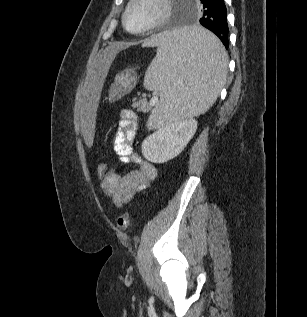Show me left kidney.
I'll return each mask as SVG.
<instances>
[{
    "label": "left kidney",
    "instance_id": "obj_1",
    "mask_svg": "<svg viewBox=\"0 0 307 317\" xmlns=\"http://www.w3.org/2000/svg\"><path fill=\"white\" fill-rule=\"evenodd\" d=\"M197 129L195 119H183L165 125L142 142L143 156L153 163L167 162L184 149Z\"/></svg>",
    "mask_w": 307,
    "mask_h": 317
}]
</instances>
